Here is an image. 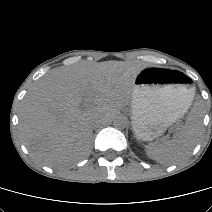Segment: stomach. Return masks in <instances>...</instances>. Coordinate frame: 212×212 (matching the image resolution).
<instances>
[{
	"label": "stomach",
	"mask_w": 212,
	"mask_h": 212,
	"mask_svg": "<svg viewBox=\"0 0 212 212\" xmlns=\"http://www.w3.org/2000/svg\"><path fill=\"white\" fill-rule=\"evenodd\" d=\"M182 72L149 66L134 79L132 127L139 140H153L180 119L193 102L195 89Z\"/></svg>",
	"instance_id": "stomach-1"
}]
</instances>
